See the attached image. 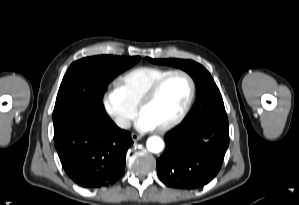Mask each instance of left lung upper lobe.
Wrapping results in <instances>:
<instances>
[{"instance_id":"left-lung-upper-lobe-1","label":"left lung upper lobe","mask_w":299,"mask_h":205,"mask_svg":"<svg viewBox=\"0 0 299 205\" xmlns=\"http://www.w3.org/2000/svg\"><path fill=\"white\" fill-rule=\"evenodd\" d=\"M152 63L161 65H171L185 70L194 79L197 87L196 102L188 113V119L200 118L203 115L217 110L225 109L222 96L210 73L200 64L191 60L180 59H152L147 57Z\"/></svg>"}]
</instances>
